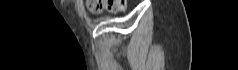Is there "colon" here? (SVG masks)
Instances as JSON below:
<instances>
[{"label": "colon", "instance_id": "1", "mask_svg": "<svg viewBox=\"0 0 238 70\" xmlns=\"http://www.w3.org/2000/svg\"><path fill=\"white\" fill-rule=\"evenodd\" d=\"M126 2L123 0H89L88 7L92 12L99 13L107 11L118 13L125 9Z\"/></svg>", "mask_w": 238, "mask_h": 70}]
</instances>
